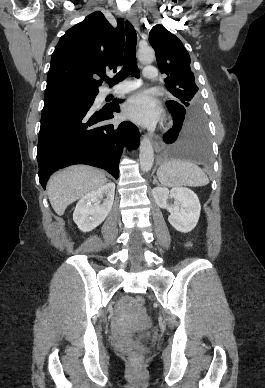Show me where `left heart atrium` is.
I'll list each match as a JSON object with an SVG mask.
<instances>
[{
	"instance_id": "obj_1",
	"label": "left heart atrium",
	"mask_w": 265,
	"mask_h": 388,
	"mask_svg": "<svg viewBox=\"0 0 265 388\" xmlns=\"http://www.w3.org/2000/svg\"><path fill=\"white\" fill-rule=\"evenodd\" d=\"M127 117L142 123H153L161 116L159 103L148 92L133 95L124 107Z\"/></svg>"
}]
</instances>
